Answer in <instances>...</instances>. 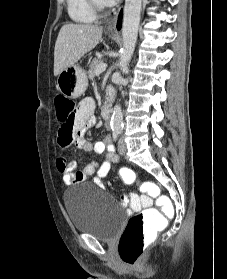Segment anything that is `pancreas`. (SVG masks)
<instances>
[{
	"instance_id": "cf45deb5",
	"label": "pancreas",
	"mask_w": 227,
	"mask_h": 279,
	"mask_svg": "<svg viewBox=\"0 0 227 279\" xmlns=\"http://www.w3.org/2000/svg\"><path fill=\"white\" fill-rule=\"evenodd\" d=\"M102 64H104V61L102 59H94L92 61V63L89 66V70H88V77L90 79H94V77L96 75V69Z\"/></svg>"
}]
</instances>
